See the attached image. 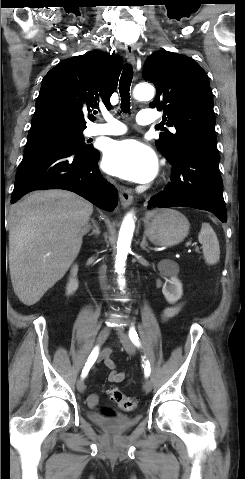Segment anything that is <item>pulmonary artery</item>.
I'll return each instance as SVG.
<instances>
[{"mask_svg":"<svg viewBox=\"0 0 245 479\" xmlns=\"http://www.w3.org/2000/svg\"><path fill=\"white\" fill-rule=\"evenodd\" d=\"M105 123L94 124L89 129L91 136L97 135H120L126 131V126L113 118L111 115H104ZM137 123L140 125H152L156 123L157 117L152 109H143L137 115Z\"/></svg>","mask_w":245,"mask_h":479,"instance_id":"pulmonary-artery-1","label":"pulmonary artery"}]
</instances>
